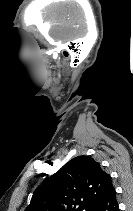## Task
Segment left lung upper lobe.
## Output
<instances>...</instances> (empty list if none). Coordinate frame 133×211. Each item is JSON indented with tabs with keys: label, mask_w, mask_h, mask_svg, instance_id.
<instances>
[{
	"label": "left lung upper lobe",
	"mask_w": 133,
	"mask_h": 211,
	"mask_svg": "<svg viewBox=\"0 0 133 211\" xmlns=\"http://www.w3.org/2000/svg\"><path fill=\"white\" fill-rule=\"evenodd\" d=\"M112 188L99 163L77 156L35 190L25 211H92Z\"/></svg>",
	"instance_id": "left-lung-upper-lobe-1"
}]
</instances>
